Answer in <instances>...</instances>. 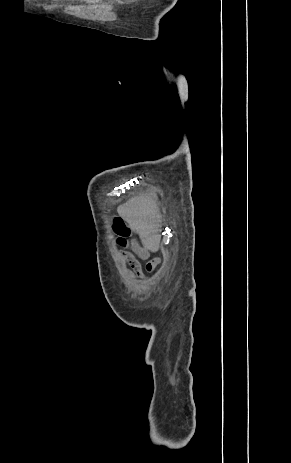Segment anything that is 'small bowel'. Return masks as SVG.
<instances>
[{"label":"small bowel","instance_id":"1","mask_svg":"<svg viewBox=\"0 0 291 463\" xmlns=\"http://www.w3.org/2000/svg\"><path fill=\"white\" fill-rule=\"evenodd\" d=\"M117 243L123 249L122 258L129 265L130 269L128 271L131 276L136 279H146V275L142 272L141 264L136 256L141 259H147L152 248L150 246L139 245L136 240L130 237V233L117 237ZM159 261L156 258L148 262L146 265L147 271H152Z\"/></svg>","mask_w":291,"mask_h":463}]
</instances>
